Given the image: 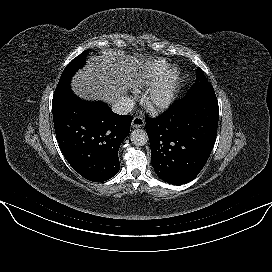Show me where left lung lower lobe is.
Masks as SVG:
<instances>
[{
	"label": "left lung lower lobe",
	"mask_w": 272,
	"mask_h": 272,
	"mask_svg": "<svg viewBox=\"0 0 272 272\" xmlns=\"http://www.w3.org/2000/svg\"><path fill=\"white\" fill-rule=\"evenodd\" d=\"M219 119L215 94L181 99L157 118H146L151 163L170 184L192 181L213 149Z\"/></svg>",
	"instance_id": "0a47b994"
}]
</instances>
